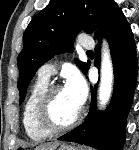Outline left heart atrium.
<instances>
[{
    "label": "left heart atrium",
    "mask_w": 139,
    "mask_h": 150,
    "mask_svg": "<svg viewBox=\"0 0 139 150\" xmlns=\"http://www.w3.org/2000/svg\"><path fill=\"white\" fill-rule=\"evenodd\" d=\"M64 89L79 106L83 105L87 97V85L78 72L68 75Z\"/></svg>",
    "instance_id": "left-heart-atrium-1"
}]
</instances>
